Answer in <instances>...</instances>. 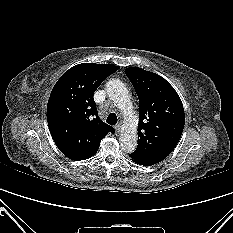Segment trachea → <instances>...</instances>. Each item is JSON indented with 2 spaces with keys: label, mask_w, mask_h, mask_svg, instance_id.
<instances>
[{
  "label": "trachea",
  "mask_w": 233,
  "mask_h": 233,
  "mask_svg": "<svg viewBox=\"0 0 233 233\" xmlns=\"http://www.w3.org/2000/svg\"><path fill=\"white\" fill-rule=\"evenodd\" d=\"M106 122L110 125H115L117 123V116L115 113H110L107 117Z\"/></svg>",
  "instance_id": "trachea-1"
}]
</instances>
